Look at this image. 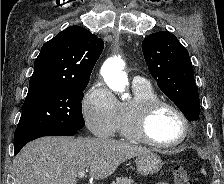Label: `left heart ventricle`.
<instances>
[{
	"label": "left heart ventricle",
	"instance_id": "1",
	"mask_svg": "<svg viewBox=\"0 0 224 184\" xmlns=\"http://www.w3.org/2000/svg\"><path fill=\"white\" fill-rule=\"evenodd\" d=\"M149 133L157 142L170 143L181 137L183 124L173 111L162 108L152 117L149 124Z\"/></svg>",
	"mask_w": 224,
	"mask_h": 184
}]
</instances>
